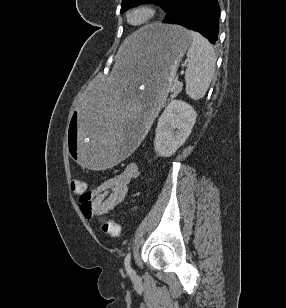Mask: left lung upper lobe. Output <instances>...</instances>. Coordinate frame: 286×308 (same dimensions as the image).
I'll use <instances>...</instances> for the list:
<instances>
[{
	"label": "left lung upper lobe",
	"instance_id": "obj_1",
	"mask_svg": "<svg viewBox=\"0 0 286 308\" xmlns=\"http://www.w3.org/2000/svg\"><path fill=\"white\" fill-rule=\"evenodd\" d=\"M171 1L172 0H123L121 4L120 12L123 13L129 8L134 7L138 4H142V3H153V4L160 6L165 11H167Z\"/></svg>",
	"mask_w": 286,
	"mask_h": 308
}]
</instances>
